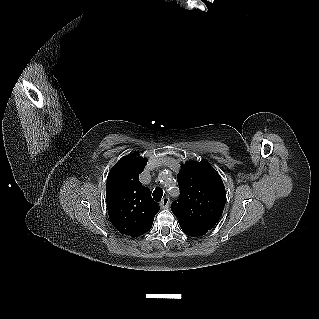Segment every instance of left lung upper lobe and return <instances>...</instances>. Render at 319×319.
<instances>
[{"label": "left lung upper lobe", "instance_id": "1", "mask_svg": "<svg viewBox=\"0 0 319 319\" xmlns=\"http://www.w3.org/2000/svg\"><path fill=\"white\" fill-rule=\"evenodd\" d=\"M180 197L172 204L179 224L208 231L220 219L226 192L220 175L206 162L182 164L177 175Z\"/></svg>", "mask_w": 319, "mask_h": 319}]
</instances>
